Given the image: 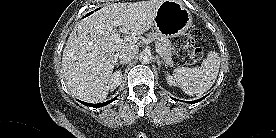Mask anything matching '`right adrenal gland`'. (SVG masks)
<instances>
[{
  "label": "right adrenal gland",
  "instance_id": "obj_1",
  "mask_svg": "<svg viewBox=\"0 0 276 138\" xmlns=\"http://www.w3.org/2000/svg\"><path fill=\"white\" fill-rule=\"evenodd\" d=\"M129 62H127V61H117L116 63H115V65H119V64H122V65H124V64H128Z\"/></svg>",
  "mask_w": 276,
  "mask_h": 138
}]
</instances>
